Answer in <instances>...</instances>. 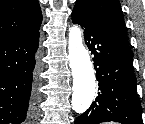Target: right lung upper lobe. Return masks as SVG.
<instances>
[{"label":"right lung upper lobe","instance_id":"1","mask_svg":"<svg viewBox=\"0 0 145 124\" xmlns=\"http://www.w3.org/2000/svg\"><path fill=\"white\" fill-rule=\"evenodd\" d=\"M41 22L38 0H0V38L38 31Z\"/></svg>","mask_w":145,"mask_h":124}]
</instances>
